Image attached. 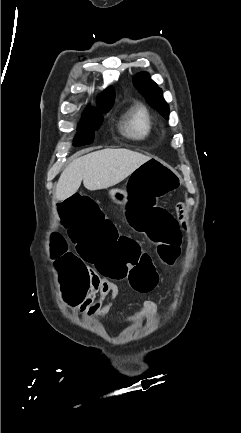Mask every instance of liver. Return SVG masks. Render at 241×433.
<instances>
[{
	"instance_id": "1",
	"label": "liver",
	"mask_w": 241,
	"mask_h": 433,
	"mask_svg": "<svg viewBox=\"0 0 241 433\" xmlns=\"http://www.w3.org/2000/svg\"><path fill=\"white\" fill-rule=\"evenodd\" d=\"M151 157L128 149H104L75 159L61 173L55 196L63 201L77 192L81 182L88 190L118 184Z\"/></svg>"
}]
</instances>
